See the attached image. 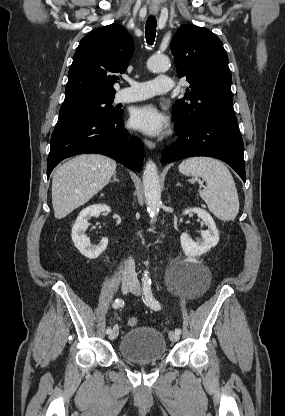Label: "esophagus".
Returning a JSON list of instances; mask_svg holds the SVG:
<instances>
[{"mask_svg": "<svg viewBox=\"0 0 285 416\" xmlns=\"http://www.w3.org/2000/svg\"><path fill=\"white\" fill-rule=\"evenodd\" d=\"M151 15H157V12H150ZM144 144L150 149L154 150L156 144L151 140H144Z\"/></svg>", "mask_w": 285, "mask_h": 416, "instance_id": "obj_1", "label": "esophagus"}]
</instances>
